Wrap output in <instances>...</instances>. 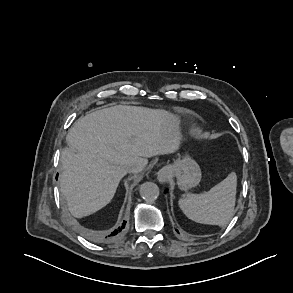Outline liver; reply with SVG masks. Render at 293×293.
<instances>
[{
    "instance_id": "obj_1",
    "label": "liver",
    "mask_w": 293,
    "mask_h": 293,
    "mask_svg": "<svg viewBox=\"0 0 293 293\" xmlns=\"http://www.w3.org/2000/svg\"><path fill=\"white\" fill-rule=\"evenodd\" d=\"M178 117L165 110L118 105L87 114L70 128V148L61 154L62 194L76 218L88 216L114 197L130 165L174 153L179 141L170 132ZM139 172V171H138Z\"/></svg>"
}]
</instances>
